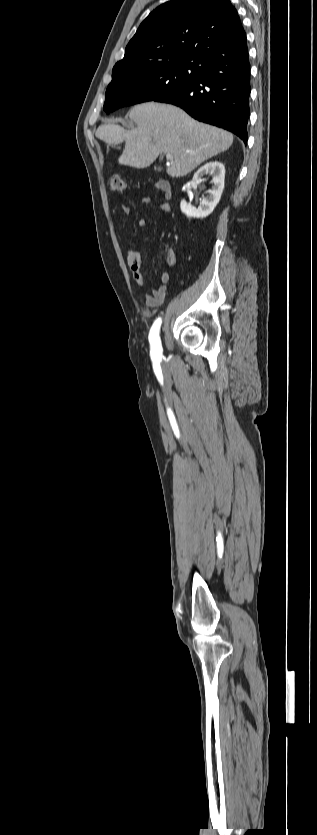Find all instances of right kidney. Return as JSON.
Segmentation results:
<instances>
[{"label":"right kidney","mask_w":317,"mask_h":835,"mask_svg":"<svg viewBox=\"0 0 317 835\" xmlns=\"http://www.w3.org/2000/svg\"><path fill=\"white\" fill-rule=\"evenodd\" d=\"M212 176V188L209 195L202 198L198 208L188 205L185 200L180 203L181 211L188 217L205 218L210 215L220 201L225 180V168L219 161H210L199 168L193 176V183L198 184L203 176Z\"/></svg>","instance_id":"ca27d5eb"}]
</instances>
